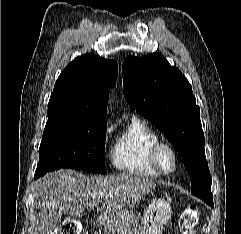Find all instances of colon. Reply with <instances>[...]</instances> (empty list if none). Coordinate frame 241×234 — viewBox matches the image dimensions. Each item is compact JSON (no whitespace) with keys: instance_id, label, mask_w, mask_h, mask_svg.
<instances>
[{"instance_id":"1","label":"colon","mask_w":241,"mask_h":234,"mask_svg":"<svg viewBox=\"0 0 241 234\" xmlns=\"http://www.w3.org/2000/svg\"><path fill=\"white\" fill-rule=\"evenodd\" d=\"M197 211L194 207L185 209L180 217L179 225L183 234H195ZM58 234H80V226L73 219H66L59 228Z\"/></svg>"}]
</instances>
